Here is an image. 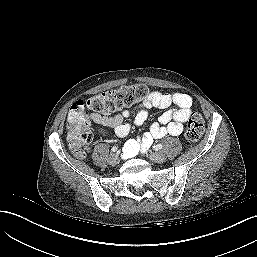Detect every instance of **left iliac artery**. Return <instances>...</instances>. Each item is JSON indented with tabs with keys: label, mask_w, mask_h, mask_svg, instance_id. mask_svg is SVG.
<instances>
[{
	"label": "left iliac artery",
	"mask_w": 257,
	"mask_h": 257,
	"mask_svg": "<svg viewBox=\"0 0 257 257\" xmlns=\"http://www.w3.org/2000/svg\"><path fill=\"white\" fill-rule=\"evenodd\" d=\"M162 147H163L162 144H158V145L153 146V148H154L155 150L162 149Z\"/></svg>",
	"instance_id": "left-iliac-artery-1"
}]
</instances>
